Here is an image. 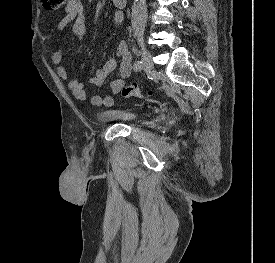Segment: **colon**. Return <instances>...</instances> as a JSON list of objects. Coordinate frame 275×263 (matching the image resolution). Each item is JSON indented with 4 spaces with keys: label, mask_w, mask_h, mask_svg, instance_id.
I'll list each match as a JSON object with an SVG mask.
<instances>
[{
    "label": "colon",
    "mask_w": 275,
    "mask_h": 263,
    "mask_svg": "<svg viewBox=\"0 0 275 263\" xmlns=\"http://www.w3.org/2000/svg\"><path fill=\"white\" fill-rule=\"evenodd\" d=\"M44 8L49 12L59 11L66 0H42ZM121 95L125 98H145L149 96V92H143L136 85H127L121 89Z\"/></svg>",
    "instance_id": "obj_1"
}]
</instances>
